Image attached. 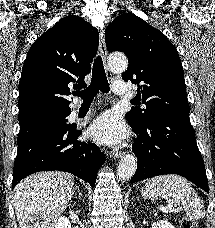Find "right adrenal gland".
<instances>
[{
  "label": "right adrenal gland",
  "mask_w": 215,
  "mask_h": 228,
  "mask_svg": "<svg viewBox=\"0 0 215 228\" xmlns=\"http://www.w3.org/2000/svg\"><path fill=\"white\" fill-rule=\"evenodd\" d=\"M76 192H78V196H83V192H81L79 186H75Z\"/></svg>",
  "instance_id": "2a0ac1e0"
}]
</instances>
